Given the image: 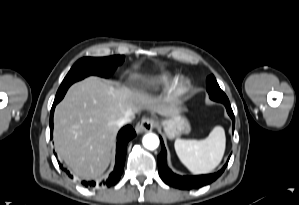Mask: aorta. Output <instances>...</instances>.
<instances>
[{
	"label": "aorta",
	"mask_w": 299,
	"mask_h": 205,
	"mask_svg": "<svg viewBox=\"0 0 299 205\" xmlns=\"http://www.w3.org/2000/svg\"><path fill=\"white\" fill-rule=\"evenodd\" d=\"M142 143L145 148L154 150L159 146V138L154 133H148L143 137Z\"/></svg>",
	"instance_id": "1"
}]
</instances>
